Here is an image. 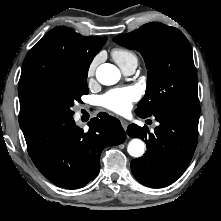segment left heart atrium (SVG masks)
Returning a JSON list of instances; mask_svg holds the SVG:
<instances>
[{
  "mask_svg": "<svg viewBox=\"0 0 221 221\" xmlns=\"http://www.w3.org/2000/svg\"><path fill=\"white\" fill-rule=\"evenodd\" d=\"M138 98V90L129 86L108 91L100 98V102L103 107L121 114L127 112Z\"/></svg>",
  "mask_w": 221,
  "mask_h": 221,
  "instance_id": "left-heart-atrium-1",
  "label": "left heart atrium"
}]
</instances>
